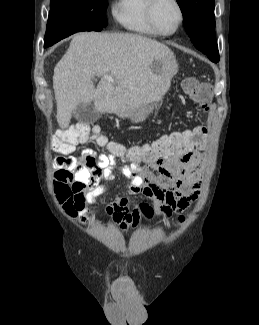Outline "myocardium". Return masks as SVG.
<instances>
[{"instance_id": "myocardium-1", "label": "myocardium", "mask_w": 259, "mask_h": 325, "mask_svg": "<svg viewBox=\"0 0 259 325\" xmlns=\"http://www.w3.org/2000/svg\"><path fill=\"white\" fill-rule=\"evenodd\" d=\"M171 1L177 7V10H178V13H179V19H178L177 25L174 28V30H172L171 32H162L158 28V26H157V24L155 22V19H154V10H155L156 4L159 2V0H148V4H147V7H146V17H147V20H148L150 26L153 28V30L158 35L171 36V35L175 34L179 30L181 25L183 24V21H184V9H183V6H182L181 2L179 0H171Z\"/></svg>"}]
</instances>
